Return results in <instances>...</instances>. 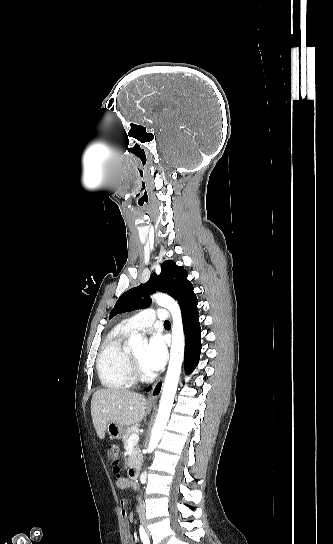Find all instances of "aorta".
Wrapping results in <instances>:
<instances>
[{
	"label": "aorta",
	"mask_w": 333,
	"mask_h": 544,
	"mask_svg": "<svg viewBox=\"0 0 333 544\" xmlns=\"http://www.w3.org/2000/svg\"><path fill=\"white\" fill-rule=\"evenodd\" d=\"M153 298L158 305L165 307L170 311L173 319V325L170 360L162 390L158 414L147 448L148 453H151L157 447L168 422L181 373L185 347L183 323L178 303L172 297L164 293H156L153 295ZM129 345L132 349H143L144 346L142 335L135 332L131 333L129 337Z\"/></svg>",
	"instance_id": "1"
}]
</instances>
